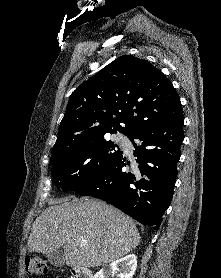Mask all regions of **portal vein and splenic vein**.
Listing matches in <instances>:
<instances>
[{
    "instance_id": "1",
    "label": "portal vein and splenic vein",
    "mask_w": 221,
    "mask_h": 278,
    "mask_svg": "<svg viewBox=\"0 0 221 278\" xmlns=\"http://www.w3.org/2000/svg\"><path fill=\"white\" fill-rule=\"evenodd\" d=\"M86 242V240H82V243H85Z\"/></svg>"
}]
</instances>
